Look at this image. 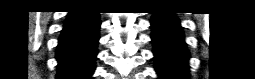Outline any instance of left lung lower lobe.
I'll use <instances>...</instances> for the list:
<instances>
[{
	"mask_svg": "<svg viewBox=\"0 0 255 79\" xmlns=\"http://www.w3.org/2000/svg\"><path fill=\"white\" fill-rule=\"evenodd\" d=\"M156 71L160 79H186L189 58L179 20L173 13L157 12L151 20Z\"/></svg>",
	"mask_w": 255,
	"mask_h": 79,
	"instance_id": "left-lung-lower-lobe-1",
	"label": "left lung lower lobe"
}]
</instances>
